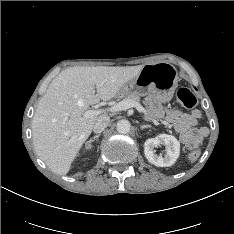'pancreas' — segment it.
Masks as SVG:
<instances>
[{
    "label": "pancreas",
    "mask_w": 234,
    "mask_h": 234,
    "mask_svg": "<svg viewBox=\"0 0 234 234\" xmlns=\"http://www.w3.org/2000/svg\"><path fill=\"white\" fill-rule=\"evenodd\" d=\"M125 99L124 100H131V101H135V102H140V97L138 95H134V94H130L127 96H124Z\"/></svg>",
    "instance_id": "1"
}]
</instances>
